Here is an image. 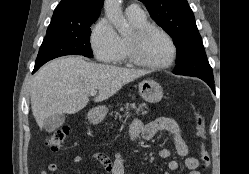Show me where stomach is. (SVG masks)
Returning a JSON list of instances; mask_svg holds the SVG:
<instances>
[{"label": "stomach", "mask_w": 249, "mask_h": 174, "mask_svg": "<svg viewBox=\"0 0 249 174\" xmlns=\"http://www.w3.org/2000/svg\"><path fill=\"white\" fill-rule=\"evenodd\" d=\"M139 94L145 101L157 103L163 97V89L156 81L146 79L139 83ZM107 112L106 106H98L89 112L88 117L92 122L97 123L105 118Z\"/></svg>", "instance_id": "1"}]
</instances>
